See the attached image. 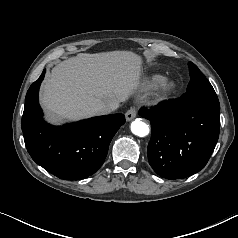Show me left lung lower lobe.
I'll use <instances>...</instances> for the list:
<instances>
[{
    "mask_svg": "<svg viewBox=\"0 0 238 238\" xmlns=\"http://www.w3.org/2000/svg\"><path fill=\"white\" fill-rule=\"evenodd\" d=\"M139 114L151 123L148 160L166 179L191 176L207 164L219 137V101H200L181 107L179 98Z\"/></svg>",
    "mask_w": 238,
    "mask_h": 238,
    "instance_id": "obj_1",
    "label": "left lung lower lobe"
}]
</instances>
